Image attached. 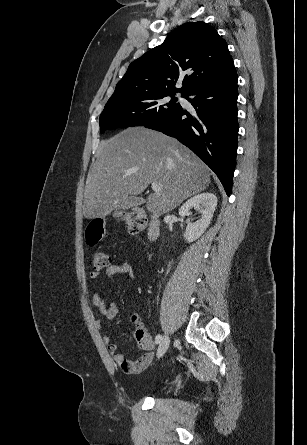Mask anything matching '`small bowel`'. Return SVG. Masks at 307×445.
<instances>
[{"label": "small bowel", "instance_id": "1", "mask_svg": "<svg viewBox=\"0 0 307 445\" xmlns=\"http://www.w3.org/2000/svg\"><path fill=\"white\" fill-rule=\"evenodd\" d=\"M105 275L108 277L124 275L127 278L132 279L134 277V270L129 261H123L120 264L109 266L105 271ZM100 277L101 274L97 270L90 273V278L93 281L98 280ZM92 299L98 313L101 316L107 318L108 320L115 319L118 314V307L114 301L103 300L97 292L93 293ZM103 342L105 343L107 351L112 356L114 362L117 363L123 369V371L129 374H138L142 372L151 363L154 357V353L152 352L154 349L152 339L149 345H140V347L147 352L141 355L135 361H131L123 354L119 353L117 345L111 342L109 336H103Z\"/></svg>", "mask_w": 307, "mask_h": 445}]
</instances>
